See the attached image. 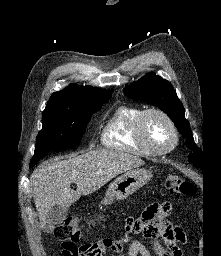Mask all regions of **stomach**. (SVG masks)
Instances as JSON below:
<instances>
[{"instance_id": "stomach-1", "label": "stomach", "mask_w": 221, "mask_h": 256, "mask_svg": "<svg viewBox=\"0 0 221 256\" xmlns=\"http://www.w3.org/2000/svg\"><path fill=\"white\" fill-rule=\"evenodd\" d=\"M152 173L146 169H133L125 172L109 184L102 204H110L114 200H123L144 186Z\"/></svg>"}]
</instances>
